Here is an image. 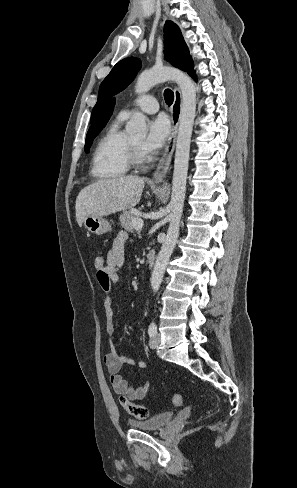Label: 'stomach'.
<instances>
[{
    "mask_svg": "<svg viewBox=\"0 0 297 488\" xmlns=\"http://www.w3.org/2000/svg\"><path fill=\"white\" fill-rule=\"evenodd\" d=\"M83 223L85 228L93 234L101 235L111 231L110 223L102 216L89 215L84 219Z\"/></svg>",
    "mask_w": 297,
    "mask_h": 488,
    "instance_id": "1",
    "label": "stomach"
}]
</instances>
